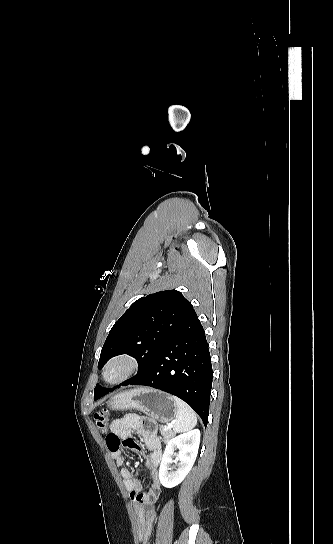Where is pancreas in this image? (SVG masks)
<instances>
[{
	"instance_id": "1",
	"label": "pancreas",
	"mask_w": 333,
	"mask_h": 544,
	"mask_svg": "<svg viewBox=\"0 0 333 544\" xmlns=\"http://www.w3.org/2000/svg\"><path fill=\"white\" fill-rule=\"evenodd\" d=\"M160 432L165 442H167L171 437L174 436V433L172 430L165 431L162 427L160 428Z\"/></svg>"
}]
</instances>
